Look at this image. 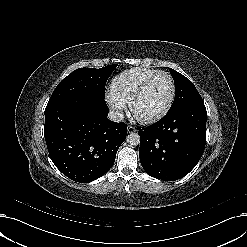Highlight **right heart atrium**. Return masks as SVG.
<instances>
[{"label":"right heart atrium","mask_w":247,"mask_h":247,"mask_svg":"<svg viewBox=\"0 0 247 247\" xmlns=\"http://www.w3.org/2000/svg\"><path fill=\"white\" fill-rule=\"evenodd\" d=\"M107 104L111 107V109L117 113L120 114L123 112L125 108V104L115 98L114 96L110 95L106 98Z\"/></svg>","instance_id":"1"}]
</instances>
